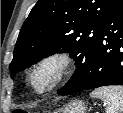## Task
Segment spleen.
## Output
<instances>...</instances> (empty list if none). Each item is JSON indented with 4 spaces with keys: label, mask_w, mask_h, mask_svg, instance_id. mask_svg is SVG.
<instances>
[{
    "label": "spleen",
    "mask_w": 123,
    "mask_h": 113,
    "mask_svg": "<svg viewBox=\"0 0 123 113\" xmlns=\"http://www.w3.org/2000/svg\"><path fill=\"white\" fill-rule=\"evenodd\" d=\"M91 97L99 98L107 104L106 113H123V87L106 86L95 89Z\"/></svg>",
    "instance_id": "obj_1"
}]
</instances>
